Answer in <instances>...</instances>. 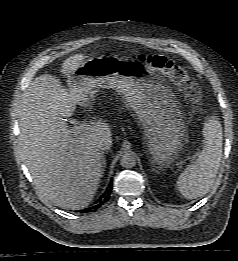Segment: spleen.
I'll return each instance as SVG.
<instances>
[{"label":"spleen","mask_w":238,"mask_h":261,"mask_svg":"<svg viewBox=\"0 0 238 261\" xmlns=\"http://www.w3.org/2000/svg\"><path fill=\"white\" fill-rule=\"evenodd\" d=\"M202 134V151L196 161L181 173L176 183L179 193L186 199H196L209 192L222 159V125L215 116L204 123Z\"/></svg>","instance_id":"3e777b00"}]
</instances>
